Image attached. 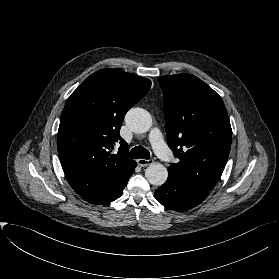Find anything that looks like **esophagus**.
I'll return each mask as SVG.
<instances>
[{
  "instance_id": "1",
  "label": "esophagus",
  "mask_w": 279,
  "mask_h": 279,
  "mask_svg": "<svg viewBox=\"0 0 279 279\" xmlns=\"http://www.w3.org/2000/svg\"><path fill=\"white\" fill-rule=\"evenodd\" d=\"M137 163L141 167H146V166L153 164L154 160L153 159H148V160L147 159H138Z\"/></svg>"
}]
</instances>
